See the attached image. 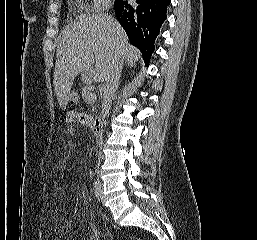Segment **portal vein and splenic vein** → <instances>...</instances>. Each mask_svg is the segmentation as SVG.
I'll return each instance as SVG.
<instances>
[{
    "mask_svg": "<svg viewBox=\"0 0 257 240\" xmlns=\"http://www.w3.org/2000/svg\"><path fill=\"white\" fill-rule=\"evenodd\" d=\"M91 98H92V99H95L96 97H95L94 95H91Z\"/></svg>",
    "mask_w": 257,
    "mask_h": 240,
    "instance_id": "obj_1",
    "label": "portal vein and splenic vein"
}]
</instances>
